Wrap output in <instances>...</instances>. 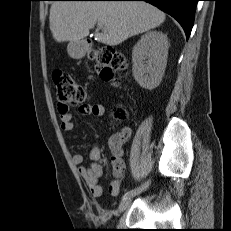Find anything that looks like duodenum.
I'll use <instances>...</instances> for the list:
<instances>
[{"label": "duodenum", "mask_w": 231, "mask_h": 231, "mask_svg": "<svg viewBox=\"0 0 231 231\" xmlns=\"http://www.w3.org/2000/svg\"><path fill=\"white\" fill-rule=\"evenodd\" d=\"M89 48H90V43H89V41H84V42H82L81 45L79 46V49H80L81 51H86V50H88Z\"/></svg>", "instance_id": "obj_1"}]
</instances>
